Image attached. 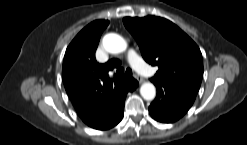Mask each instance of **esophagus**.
I'll use <instances>...</instances> for the list:
<instances>
[{
    "label": "esophagus",
    "instance_id": "1",
    "mask_svg": "<svg viewBox=\"0 0 247 145\" xmlns=\"http://www.w3.org/2000/svg\"><path fill=\"white\" fill-rule=\"evenodd\" d=\"M135 78L140 84L144 82L143 78L140 75H135Z\"/></svg>",
    "mask_w": 247,
    "mask_h": 145
}]
</instances>
